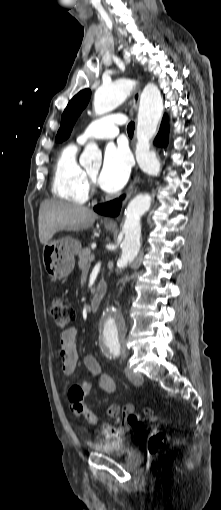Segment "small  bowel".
<instances>
[{"label": "small bowel", "mask_w": 221, "mask_h": 510, "mask_svg": "<svg viewBox=\"0 0 221 510\" xmlns=\"http://www.w3.org/2000/svg\"><path fill=\"white\" fill-rule=\"evenodd\" d=\"M77 329L70 328L61 333L59 343V358L61 361V370L62 373L66 376H69L74 373L78 353H77ZM84 365L87 370L92 374V376L98 379V384L101 392L104 394H110L114 390V382L110 376L104 374L101 370V366L94 354H87L84 357ZM77 389H74L75 386L71 387L68 391V400L70 403V409L75 416L84 415L86 408L83 403L84 396L86 392L90 389L91 384L89 382H84L82 385H76ZM83 391L84 394L80 395V392ZM110 408H113L117 411L116 414L111 416L115 417L117 426L104 425L109 428V432H105V436L108 439H117L126 433L131 426L127 423L126 417L129 413L134 412V408L132 405H126L124 407H120L118 405H113ZM109 408V409H110ZM147 412H150L148 410Z\"/></svg>", "instance_id": "small-bowel-1"}]
</instances>
